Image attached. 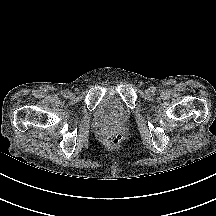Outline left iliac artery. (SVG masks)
<instances>
[{"label": "left iliac artery", "instance_id": "44dca946", "mask_svg": "<svg viewBox=\"0 0 216 216\" xmlns=\"http://www.w3.org/2000/svg\"><path fill=\"white\" fill-rule=\"evenodd\" d=\"M156 90V88L154 86H152V92L154 93Z\"/></svg>", "mask_w": 216, "mask_h": 216}]
</instances>
